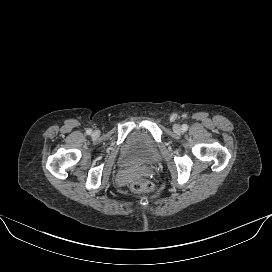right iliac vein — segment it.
I'll use <instances>...</instances> for the list:
<instances>
[{
    "instance_id": "63e3f726",
    "label": "right iliac vein",
    "mask_w": 272,
    "mask_h": 272,
    "mask_svg": "<svg viewBox=\"0 0 272 272\" xmlns=\"http://www.w3.org/2000/svg\"><path fill=\"white\" fill-rule=\"evenodd\" d=\"M98 134H99V132H98V131H95V132H94V135H95V136H97Z\"/></svg>"
}]
</instances>
